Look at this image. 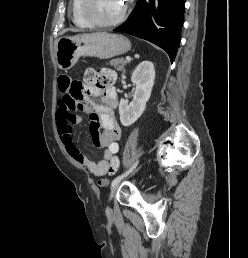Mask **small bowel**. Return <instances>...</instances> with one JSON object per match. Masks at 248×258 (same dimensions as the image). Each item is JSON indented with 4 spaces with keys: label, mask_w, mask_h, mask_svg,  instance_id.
Listing matches in <instances>:
<instances>
[{
    "label": "small bowel",
    "mask_w": 248,
    "mask_h": 258,
    "mask_svg": "<svg viewBox=\"0 0 248 258\" xmlns=\"http://www.w3.org/2000/svg\"><path fill=\"white\" fill-rule=\"evenodd\" d=\"M61 97L58 100L56 113L57 130L62 143L70 157L77 163L87 167L90 173L102 177L108 173L111 160L119 152L121 128L115 118V109L118 104L117 93L111 86H89L85 88L87 97L82 100L76 97L71 88H77V81L68 77L58 80ZM99 98V102L91 99ZM90 114V133L95 147L105 148L101 158L95 159L84 155L73 140V126L79 124L82 118L74 111ZM102 129L100 132L99 129ZM101 187H110L108 179L100 180Z\"/></svg>",
    "instance_id": "obj_1"
}]
</instances>
